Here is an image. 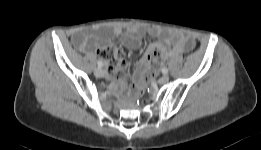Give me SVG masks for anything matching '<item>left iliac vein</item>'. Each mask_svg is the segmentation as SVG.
<instances>
[{
    "label": "left iliac vein",
    "mask_w": 261,
    "mask_h": 150,
    "mask_svg": "<svg viewBox=\"0 0 261 150\" xmlns=\"http://www.w3.org/2000/svg\"><path fill=\"white\" fill-rule=\"evenodd\" d=\"M169 81V76L168 75H163L159 80H158V82L160 83V84H165V83H167Z\"/></svg>",
    "instance_id": "4c4485c4"
}]
</instances>
